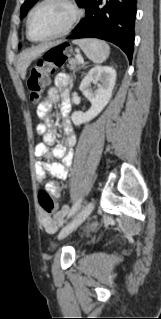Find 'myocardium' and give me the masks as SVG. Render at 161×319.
Listing matches in <instances>:
<instances>
[{
  "mask_svg": "<svg viewBox=\"0 0 161 319\" xmlns=\"http://www.w3.org/2000/svg\"><path fill=\"white\" fill-rule=\"evenodd\" d=\"M49 2H60L64 5H66L71 12V16L67 23L64 25V27L58 31L57 33L48 36L46 38H41V39H35L31 35V30H30V25H31V20L35 12L44 4L49 3ZM81 15V11L78 7V5L74 2V0H41L29 13L28 19H27V26H26V33L27 37L30 41L32 42H47L51 40H55L57 38H60L64 35H66L76 24L77 20L79 19Z\"/></svg>",
  "mask_w": 161,
  "mask_h": 319,
  "instance_id": "1",
  "label": "myocardium"
}]
</instances>
